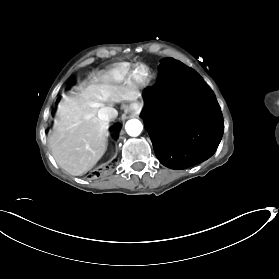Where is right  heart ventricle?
<instances>
[{"label": "right heart ventricle", "instance_id": "obj_1", "mask_svg": "<svg viewBox=\"0 0 279 279\" xmlns=\"http://www.w3.org/2000/svg\"><path fill=\"white\" fill-rule=\"evenodd\" d=\"M130 69L129 63H122L116 66V71L120 73H127Z\"/></svg>", "mask_w": 279, "mask_h": 279}]
</instances>
